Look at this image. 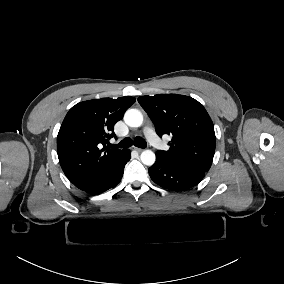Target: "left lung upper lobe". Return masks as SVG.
Masks as SVG:
<instances>
[{"instance_id":"1","label":"left lung upper lobe","mask_w":284,"mask_h":284,"mask_svg":"<svg viewBox=\"0 0 284 284\" xmlns=\"http://www.w3.org/2000/svg\"><path fill=\"white\" fill-rule=\"evenodd\" d=\"M138 102L153 121L160 137L172 136L168 151L156 155L169 163L207 172L215 153L213 122L201 103L184 95L141 96Z\"/></svg>"}]
</instances>
